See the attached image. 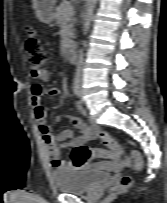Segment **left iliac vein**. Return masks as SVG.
Listing matches in <instances>:
<instances>
[{"mask_svg": "<svg viewBox=\"0 0 167 203\" xmlns=\"http://www.w3.org/2000/svg\"><path fill=\"white\" fill-rule=\"evenodd\" d=\"M80 97H81V103H84V99L82 98L83 97V91L82 89L80 88Z\"/></svg>", "mask_w": 167, "mask_h": 203, "instance_id": "4c4485c4", "label": "left iliac vein"}]
</instances>
